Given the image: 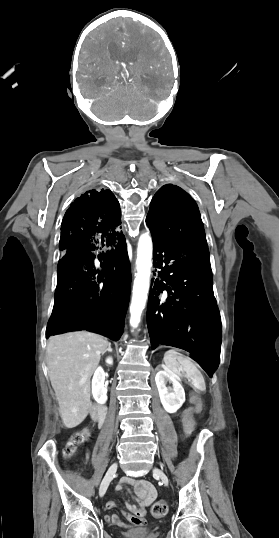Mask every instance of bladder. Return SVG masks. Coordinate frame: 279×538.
<instances>
[{
    "label": "bladder",
    "mask_w": 279,
    "mask_h": 538,
    "mask_svg": "<svg viewBox=\"0 0 279 538\" xmlns=\"http://www.w3.org/2000/svg\"><path fill=\"white\" fill-rule=\"evenodd\" d=\"M126 538H151L150 534H127Z\"/></svg>",
    "instance_id": "1"
}]
</instances>
